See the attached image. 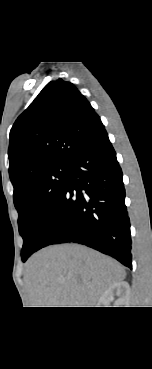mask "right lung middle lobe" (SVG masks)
Returning <instances> with one entry per match:
<instances>
[{
    "instance_id": "1",
    "label": "right lung middle lobe",
    "mask_w": 152,
    "mask_h": 369,
    "mask_svg": "<svg viewBox=\"0 0 152 369\" xmlns=\"http://www.w3.org/2000/svg\"><path fill=\"white\" fill-rule=\"evenodd\" d=\"M68 164L49 167L35 173L24 188L13 195L18 211L19 232L24 240L23 261L37 251L53 212L67 183Z\"/></svg>"
}]
</instances>
